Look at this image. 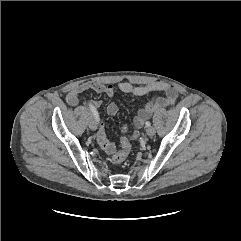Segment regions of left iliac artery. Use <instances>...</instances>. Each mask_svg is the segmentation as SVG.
Here are the masks:
<instances>
[{
    "instance_id": "obj_1",
    "label": "left iliac artery",
    "mask_w": 241,
    "mask_h": 241,
    "mask_svg": "<svg viewBox=\"0 0 241 241\" xmlns=\"http://www.w3.org/2000/svg\"><path fill=\"white\" fill-rule=\"evenodd\" d=\"M145 124L147 127H149L151 125V123L149 121H147Z\"/></svg>"
}]
</instances>
